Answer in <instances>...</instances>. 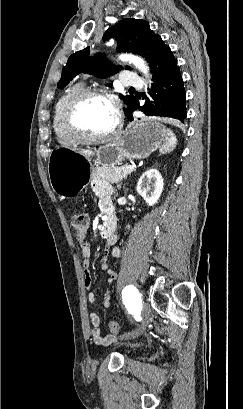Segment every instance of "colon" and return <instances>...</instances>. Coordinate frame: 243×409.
Here are the masks:
<instances>
[{
  "instance_id": "5ec220e1",
  "label": "colon",
  "mask_w": 243,
  "mask_h": 409,
  "mask_svg": "<svg viewBox=\"0 0 243 409\" xmlns=\"http://www.w3.org/2000/svg\"><path fill=\"white\" fill-rule=\"evenodd\" d=\"M71 224L74 229L75 237L81 243L84 240L88 225L89 219L87 215L82 213H75L71 217ZM108 327L115 337L119 335L120 329L116 322H108Z\"/></svg>"
}]
</instances>
